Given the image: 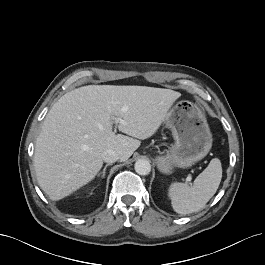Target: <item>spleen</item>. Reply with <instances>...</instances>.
<instances>
[{
    "label": "spleen",
    "instance_id": "3e777b00",
    "mask_svg": "<svg viewBox=\"0 0 265 265\" xmlns=\"http://www.w3.org/2000/svg\"><path fill=\"white\" fill-rule=\"evenodd\" d=\"M221 178V162L218 158H214L197 176L192 186L186 183H172L168 197L171 199L174 211L184 215L200 211L216 193Z\"/></svg>",
    "mask_w": 265,
    "mask_h": 265
}]
</instances>
